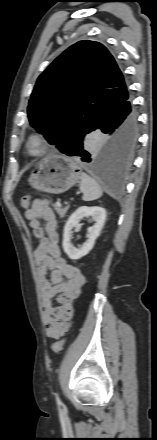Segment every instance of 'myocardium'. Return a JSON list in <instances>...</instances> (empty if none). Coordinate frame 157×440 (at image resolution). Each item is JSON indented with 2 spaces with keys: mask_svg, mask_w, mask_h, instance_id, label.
<instances>
[{
  "mask_svg": "<svg viewBox=\"0 0 157 440\" xmlns=\"http://www.w3.org/2000/svg\"><path fill=\"white\" fill-rule=\"evenodd\" d=\"M33 142H36L38 145V150L33 151L31 145ZM27 151L32 155H41L46 152L48 149V142L46 138L40 133H33L28 136L25 143Z\"/></svg>",
  "mask_w": 157,
  "mask_h": 440,
  "instance_id": "1",
  "label": "myocardium"
}]
</instances>
